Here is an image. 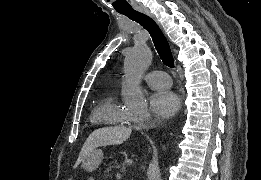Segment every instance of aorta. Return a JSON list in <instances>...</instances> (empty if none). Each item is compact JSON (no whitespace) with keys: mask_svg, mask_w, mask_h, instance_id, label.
<instances>
[{"mask_svg":"<svg viewBox=\"0 0 261 180\" xmlns=\"http://www.w3.org/2000/svg\"><path fill=\"white\" fill-rule=\"evenodd\" d=\"M152 61V52L145 43H139L126 52L124 70L126 85L122 94L125 106L133 111L146 109L147 102L140 88V79Z\"/></svg>","mask_w":261,"mask_h":180,"instance_id":"aorta-1","label":"aorta"}]
</instances>
